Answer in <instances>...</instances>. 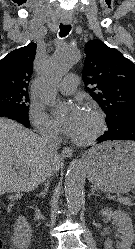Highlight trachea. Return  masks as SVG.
<instances>
[{
    "label": "trachea",
    "instance_id": "1",
    "mask_svg": "<svg viewBox=\"0 0 135 249\" xmlns=\"http://www.w3.org/2000/svg\"><path fill=\"white\" fill-rule=\"evenodd\" d=\"M70 30H71V25L60 24L59 36L60 37L67 36L69 34Z\"/></svg>",
    "mask_w": 135,
    "mask_h": 249
}]
</instances>
